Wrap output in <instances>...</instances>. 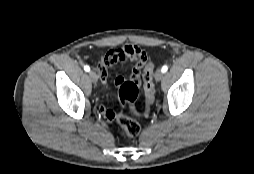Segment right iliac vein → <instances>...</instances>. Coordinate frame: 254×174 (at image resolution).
<instances>
[{
    "label": "right iliac vein",
    "mask_w": 254,
    "mask_h": 174,
    "mask_svg": "<svg viewBox=\"0 0 254 174\" xmlns=\"http://www.w3.org/2000/svg\"><path fill=\"white\" fill-rule=\"evenodd\" d=\"M89 77H90L91 81H92L94 84L97 83V81H98V76H97V74H96L94 71H90V72H89Z\"/></svg>",
    "instance_id": "1"
}]
</instances>
